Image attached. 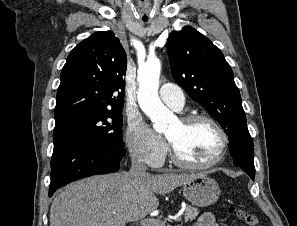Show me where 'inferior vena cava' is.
<instances>
[{"label": "inferior vena cava", "mask_w": 297, "mask_h": 226, "mask_svg": "<svg viewBox=\"0 0 297 226\" xmlns=\"http://www.w3.org/2000/svg\"><path fill=\"white\" fill-rule=\"evenodd\" d=\"M146 165L143 162H140L137 157L132 158L131 168L128 172V176L131 178H140L147 175Z\"/></svg>", "instance_id": "602c4592"}]
</instances>
